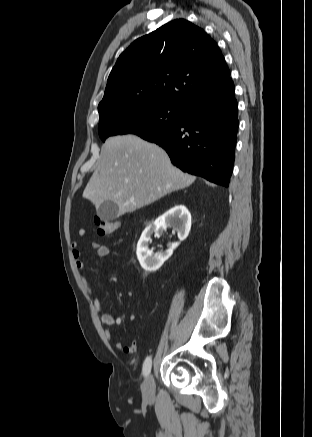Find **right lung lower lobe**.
I'll return each instance as SVG.
<instances>
[{"instance_id":"98d812e1","label":"right lung lower lobe","mask_w":312,"mask_h":437,"mask_svg":"<svg viewBox=\"0 0 312 437\" xmlns=\"http://www.w3.org/2000/svg\"><path fill=\"white\" fill-rule=\"evenodd\" d=\"M232 79L218 91L184 108L179 123L144 138L164 148L181 170L228 187L238 130Z\"/></svg>"}]
</instances>
